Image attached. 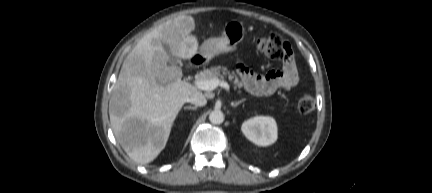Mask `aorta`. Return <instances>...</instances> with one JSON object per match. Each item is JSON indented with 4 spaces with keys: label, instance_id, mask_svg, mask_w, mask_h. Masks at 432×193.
Returning a JSON list of instances; mask_svg holds the SVG:
<instances>
[{
    "label": "aorta",
    "instance_id": "aorta-1",
    "mask_svg": "<svg viewBox=\"0 0 432 193\" xmlns=\"http://www.w3.org/2000/svg\"><path fill=\"white\" fill-rule=\"evenodd\" d=\"M212 124H221L224 121V114L221 110H213L209 115Z\"/></svg>",
    "mask_w": 432,
    "mask_h": 193
}]
</instances>
